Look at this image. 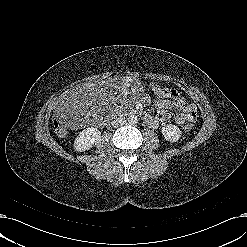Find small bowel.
<instances>
[{"label": "small bowel", "mask_w": 247, "mask_h": 247, "mask_svg": "<svg viewBox=\"0 0 247 247\" xmlns=\"http://www.w3.org/2000/svg\"><path fill=\"white\" fill-rule=\"evenodd\" d=\"M155 85L158 84H152L151 88ZM165 89L168 92L167 99L163 102L155 100V104L161 109V112L155 117L152 116V121L148 123V125L155 128L160 123L166 122L171 118L179 125L183 124L185 121H195L197 117L195 108L186 103L177 91L168 88ZM145 101L149 102L148 99H145ZM172 111H174V113Z\"/></svg>", "instance_id": "1"}]
</instances>
